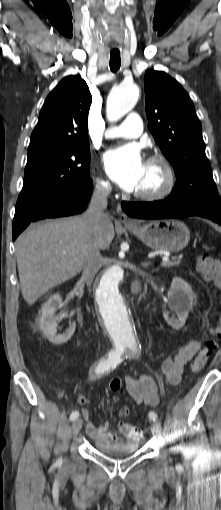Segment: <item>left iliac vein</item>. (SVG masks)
<instances>
[{
  "label": "left iliac vein",
  "mask_w": 221,
  "mask_h": 510,
  "mask_svg": "<svg viewBox=\"0 0 221 510\" xmlns=\"http://www.w3.org/2000/svg\"><path fill=\"white\" fill-rule=\"evenodd\" d=\"M151 432L154 437L160 439L162 437L161 424L158 421H154L151 425Z\"/></svg>",
  "instance_id": "1"
}]
</instances>
